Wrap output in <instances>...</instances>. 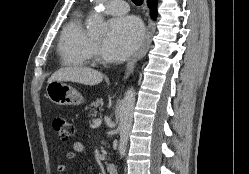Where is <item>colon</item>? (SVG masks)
Segmentation results:
<instances>
[{
    "mask_svg": "<svg viewBox=\"0 0 249 174\" xmlns=\"http://www.w3.org/2000/svg\"><path fill=\"white\" fill-rule=\"evenodd\" d=\"M53 128L61 141H68L74 134L73 124L62 116L53 118Z\"/></svg>",
    "mask_w": 249,
    "mask_h": 174,
    "instance_id": "5ec220e1",
    "label": "colon"
}]
</instances>
